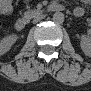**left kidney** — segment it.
Segmentation results:
<instances>
[{"mask_svg": "<svg viewBox=\"0 0 91 91\" xmlns=\"http://www.w3.org/2000/svg\"><path fill=\"white\" fill-rule=\"evenodd\" d=\"M80 46H81L82 51L86 55H90V53H91V43H90V39L87 38L85 35L81 36Z\"/></svg>", "mask_w": 91, "mask_h": 91, "instance_id": "1", "label": "left kidney"}]
</instances>
